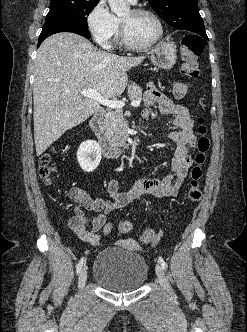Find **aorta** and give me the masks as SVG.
I'll return each mask as SVG.
<instances>
[{
  "instance_id": "1",
  "label": "aorta",
  "mask_w": 247,
  "mask_h": 332,
  "mask_svg": "<svg viewBox=\"0 0 247 332\" xmlns=\"http://www.w3.org/2000/svg\"><path fill=\"white\" fill-rule=\"evenodd\" d=\"M111 11L117 16H123L130 11V6L126 0H108Z\"/></svg>"
}]
</instances>
